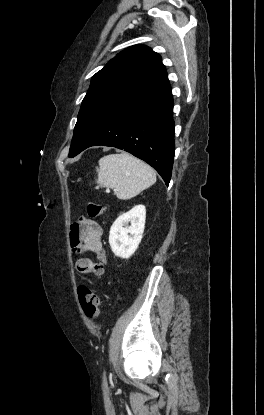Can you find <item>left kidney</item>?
Segmentation results:
<instances>
[{"label":"left kidney","mask_w":264,"mask_h":415,"mask_svg":"<svg viewBox=\"0 0 264 415\" xmlns=\"http://www.w3.org/2000/svg\"><path fill=\"white\" fill-rule=\"evenodd\" d=\"M146 219V208L137 205L120 215L110 228L109 244L115 256L128 259L141 242ZM130 222V226H127Z\"/></svg>","instance_id":"1"}]
</instances>
